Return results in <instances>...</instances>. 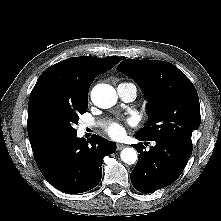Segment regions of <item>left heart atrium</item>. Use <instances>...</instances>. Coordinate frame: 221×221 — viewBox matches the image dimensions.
<instances>
[{
  "instance_id": "39dd6f15",
  "label": "left heart atrium",
  "mask_w": 221,
  "mask_h": 221,
  "mask_svg": "<svg viewBox=\"0 0 221 221\" xmlns=\"http://www.w3.org/2000/svg\"><path fill=\"white\" fill-rule=\"evenodd\" d=\"M129 124H133V121L131 119L128 120ZM106 132L108 133L109 136L112 138L118 139L124 136L125 134V129L123 125L120 122H112L110 123L107 128Z\"/></svg>"
}]
</instances>
